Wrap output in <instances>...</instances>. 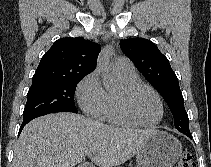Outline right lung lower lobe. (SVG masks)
Instances as JSON below:
<instances>
[{
    "mask_svg": "<svg viewBox=\"0 0 211 167\" xmlns=\"http://www.w3.org/2000/svg\"><path fill=\"white\" fill-rule=\"evenodd\" d=\"M30 121H26V122H23L22 125L20 126V130H19V134L21 133L23 127Z\"/></svg>",
    "mask_w": 211,
    "mask_h": 167,
    "instance_id": "right-lung-lower-lobe-1",
    "label": "right lung lower lobe"
}]
</instances>
